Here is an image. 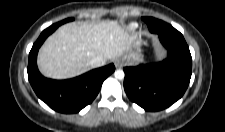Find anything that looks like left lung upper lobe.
Wrapping results in <instances>:
<instances>
[{
  "label": "left lung upper lobe",
  "mask_w": 225,
  "mask_h": 132,
  "mask_svg": "<svg viewBox=\"0 0 225 132\" xmlns=\"http://www.w3.org/2000/svg\"><path fill=\"white\" fill-rule=\"evenodd\" d=\"M146 23H147V20L146 19H144V18H142ZM171 27V25H169V24H167L166 23V27L165 28H170Z\"/></svg>",
  "instance_id": "left-lung-upper-lobe-1"
}]
</instances>
